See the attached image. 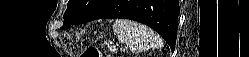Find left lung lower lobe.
<instances>
[{
	"instance_id": "obj_1",
	"label": "left lung lower lobe",
	"mask_w": 249,
	"mask_h": 57,
	"mask_svg": "<svg viewBox=\"0 0 249 57\" xmlns=\"http://www.w3.org/2000/svg\"><path fill=\"white\" fill-rule=\"evenodd\" d=\"M179 12L178 0H111L88 21L125 18L141 22L157 31L174 50Z\"/></svg>"
}]
</instances>
